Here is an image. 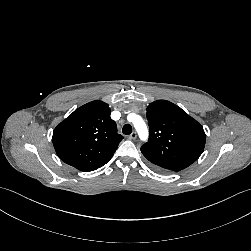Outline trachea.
<instances>
[{"instance_id": "3493384b", "label": "trachea", "mask_w": 251, "mask_h": 251, "mask_svg": "<svg viewBox=\"0 0 251 251\" xmlns=\"http://www.w3.org/2000/svg\"><path fill=\"white\" fill-rule=\"evenodd\" d=\"M122 132H123V134H125V135L131 134V132H132V126H131L130 124L124 125V126H123V129H122Z\"/></svg>"}]
</instances>
